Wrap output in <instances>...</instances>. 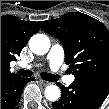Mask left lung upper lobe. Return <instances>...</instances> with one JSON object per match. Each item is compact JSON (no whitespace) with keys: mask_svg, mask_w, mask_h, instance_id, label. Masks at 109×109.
Wrapping results in <instances>:
<instances>
[{"mask_svg":"<svg viewBox=\"0 0 109 109\" xmlns=\"http://www.w3.org/2000/svg\"><path fill=\"white\" fill-rule=\"evenodd\" d=\"M40 25L60 39L65 62L70 64L75 80L109 89V31L100 21L80 12H69Z\"/></svg>","mask_w":109,"mask_h":109,"instance_id":"5c2ea615","label":"left lung upper lobe"}]
</instances>
